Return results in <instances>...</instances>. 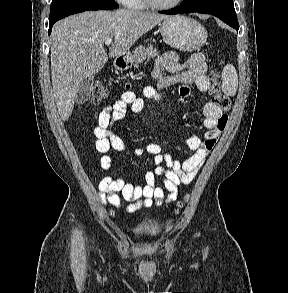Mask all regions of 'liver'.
<instances>
[{
    "label": "liver",
    "instance_id": "liver-1",
    "mask_svg": "<svg viewBox=\"0 0 288 293\" xmlns=\"http://www.w3.org/2000/svg\"><path fill=\"white\" fill-rule=\"evenodd\" d=\"M168 16L128 9L87 11L58 21L51 34V75L62 120L74 108L81 82L98 73L110 58L125 55L144 34ZM114 37L109 53L105 40Z\"/></svg>",
    "mask_w": 288,
    "mask_h": 293
}]
</instances>
